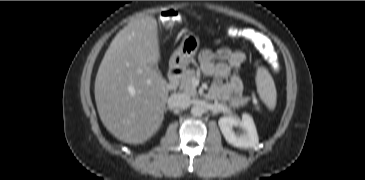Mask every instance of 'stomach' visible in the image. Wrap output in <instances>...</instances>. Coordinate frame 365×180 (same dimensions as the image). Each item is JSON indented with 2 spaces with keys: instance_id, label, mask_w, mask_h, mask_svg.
I'll list each match as a JSON object with an SVG mask.
<instances>
[{
  "instance_id": "stomach-1",
  "label": "stomach",
  "mask_w": 365,
  "mask_h": 180,
  "mask_svg": "<svg viewBox=\"0 0 365 180\" xmlns=\"http://www.w3.org/2000/svg\"><path fill=\"white\" fill-rule=\"evenodd\" d=\"M208 33L214 34L211 27L207 28ZM200 46V39L195 34H187L183 37L180 46L170 57V66L177 69L186 68L193 60Z\"/></svg>"
}]
</instances>
